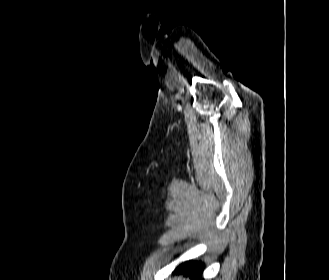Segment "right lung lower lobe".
Returning a JSON list of instances; mask_svg holds the SVG:
<instances>
[{
  "label": "right lung lower lobe",
  "instance_id": "obj_1",
  "mask_svg": "<svg viewBox=\"0 0 329 280\" xmlns=\"http://www.w3.org/2000/svg\"><path fill=\"white\" fill-rule=\"evenodd\" d=\"M203 267L201 263H191L188 261L179 265L174 273L179 274L180 272H184V274L189 275L192 280H201Z\"/></svg>",
  "mask_w": 329,
  "mask_h": 280
}]
</instances>
